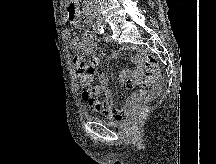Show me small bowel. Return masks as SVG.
Masks as SVG:
<instances>
[{
	"instance_id": "small-bowel-1",
	"label": "small bowel",
	"mask_w": 216,
	"mask_h": 164,
	"mask_svg": "<svg viewBox=\"0 0 216 164\" xmlns=\"http://www.w3.org/2000/svg\"><path fill=\"white\" fill-rule=\"evenodd\" d=\"M95 41L90 30H84L83 40L75 37L71 42V47L77 54L81 56L75 59V65L78 69L79 78L82 81V99L95 111L101 112L105 117L112 120H122L129 112L135 108L138 102H140L145 94L143 90L134 93L129 96L128 101L125 104L113 107V98L107 87V80L104 76L100 78V83L97 86L91 85V76L83 71L79 70L80 63L83 62V58L89 57V65L94 68V72L100 63V57L95 52ZM133 61L136 64L134 70H124L119 75V80L124 83L128 79L137 81L143 75V66L141 54L137 53L133 57ZM101 94L105 95L104 102H100L96 99V96Z\"/></svg>"
}]
</instances>
